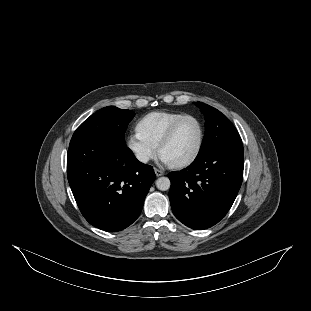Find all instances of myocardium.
Listing matches in <instances>:
<instances>
[{"label":"myocardium","mask_w":311,"mask_h":311,"mask_svg":"<svg viewBox=\"0 0 311 311\" xmlns=\"http://www.w3.org/2000/svg\"><path fill=\"white\" fill-rule=\"evenodd\" d=\"M188 118H195L199 122L201 126L200 142H199V145H198V148L195 154L189 160L182 162V163H178V164H173V165L169 164V166L173 169H184V168L192 166L200 158L203 152V149H204V145H205L206 137H207V128H206L204 121L202 120L200 116L196 114H185L170 127V129L161 139L160 143L157 146V153L159 157H161V153L163 149L173 141L180 125Z\"/></svg>","instance_id":"obj_1"}]
</instances>
